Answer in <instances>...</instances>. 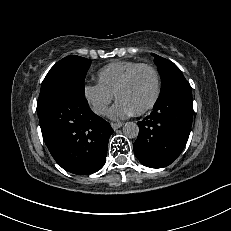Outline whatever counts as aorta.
<instances>
[{
    "label": "aorta",
    "mask_w": 231,
    "mask_h": 231,
    "mask_svg": "<svg viewBox=\"0 0 231 231\" xmlns=\"http://www.w3.org/2000/svg\"><path fill=\"white\" fill-rule=\"evenodd\" d=\"M123 134L130 139L136 138L139 134V127L134 122H126L123 126Z\"/></svg>",
    "instance_id": "1"
}]
</instances>
